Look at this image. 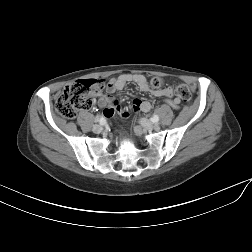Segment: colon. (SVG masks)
Returning <instances> with one entry per match:
<instances>
[{"mask_svg": "<svg viewBox=\"0 0 252 252\" xmlns=\"http://www.w3.org/2000/svg\"><path fill=\"white\" fill-rule=\"evenodd\" d=\"M149 86L159 89L163 86V80L160 77H152ZM103 87V81L97 79L79 80L68 85L56 102L57 112L65 118H74L79 110L91 104V97L100 94ZM175 92L183 101H191V91L186 85H178ZM126 115V112L122 114Z\"/></svg>", "mask_w": 252, "mask_h": 252, "instance_id": "5ec220e1", "label": "colon"}]
</instances>
